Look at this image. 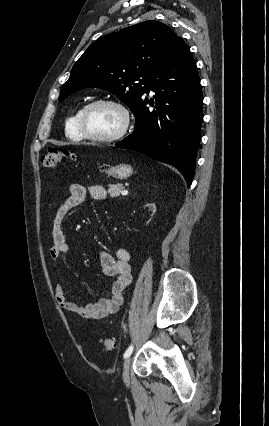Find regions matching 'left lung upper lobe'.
<instances>
[{"label":"left lung upper lobe","instance_id":"1","mask_svg":"<svg viewBox=\"0 0 269 426\" xmlns=\"http://www.w3.org/2000/svg\"><path fill=\"white\" fill-rule=\"evenodd\" d=\"M178 36L165 24L145 21L101 37L71 70L59 101L87 87L110 91L132 111L144 98L149 77Z\"/></svg>","mask_w":269,"mask_h":426}]
</instances>
